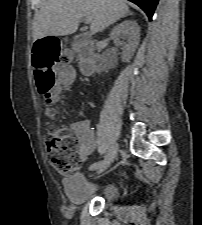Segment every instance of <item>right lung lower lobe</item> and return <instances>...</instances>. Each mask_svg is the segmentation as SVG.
I'll use <instances>...</instances> for the list:
<instances>
[{"label": "right lung lower lobe", "mask_w": 202, "mask_h": 225, "mask_svg": "<svg viewBox=\"0 0 202 225\" xmlns=\"http://www.w3.org/2000/svg\"><path fill=\"white\" fill-rule=\"evenodd\" d=\"M129 1L137 4L140 8H142L148 15L149 19L151 20L159 0H129Z\"/></svg>", "instance_id": "98d812e1"}]
</instances>
